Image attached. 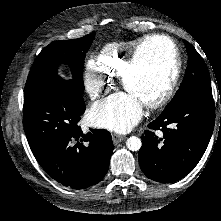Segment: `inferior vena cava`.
I'll return each mask as SVG.
<instances>
[{"mask_svg":"<svg viewBox=\"0 0 221 221\" xmlns=\"http://www.w3.org/2000/svg\"><path fill=\"white\" fill-rule=\"evenodd\" d=\"M96 95H97L96 92H93V93L90 94V96H91L92 99H95V98H96Z\"/></svg>","mask_w":221,"mask_h":221,"instance_id":"602c4592","label":"inferior vena cava"}]
</instances>
